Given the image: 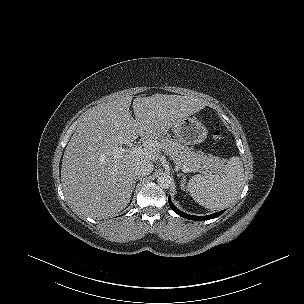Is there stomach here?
I'll return each mask as SVG.
<instances>
[{
	"label": "stomach",
	"instance_id": "obj_1",
	"mask_svg": "<svg viewBox=\"0 0 304 304\" xmlns=\"http://www.w3.org/2000/svg\"><path fill=\"white\" fill-rule=\"evenodd\" d=\"M172 130L176 138L187 145L199 144L207 137V128L196 118L186 117Z\"/></svg>",
	"mask_w": 304,
	"mask_h": 304
}]
</instances>
